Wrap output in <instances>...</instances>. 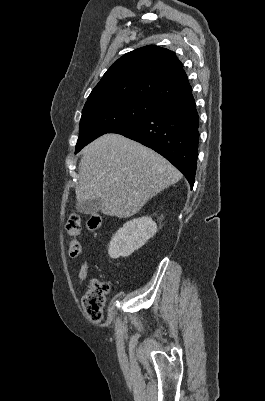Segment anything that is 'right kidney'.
<instances>
[{
    "label": "right kidney",
    "mask_w": 265,
    "mask_h": 401,
    "mask_svg": "<svg viewBox=\"0 0 265 401\" xmlns=\"http://www.w3.org/2000/svg\"><path fill=\"white\" fill-rule=\"evenodd\" d=\"M157 231V225L151 217H140L124 223L110 241L108 255L111 259L129 257L134 251L147 243Z\"/></svg>",
    "instance_id": "right-kidney-1"
}]
</instances>
